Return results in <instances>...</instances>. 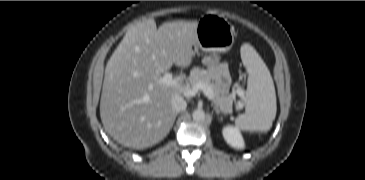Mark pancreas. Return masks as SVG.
<instances>
[{
  "instance_id": "pancreas-1",
  "label": "pancreas",
  "mask_w": 365,
  "mask_h": 180,
  "mask_svg": "<svg viewBox=\"0 0 365 180\" xmlns=\"http://www.w3.org/2000/svg\"><path fill=\"white\" fill-rule=\"evenodd\" d=\"M192 86L198 83L207 85L214 93V104L220 108L222 112L230 113L232 111L233 96L229 94L227 88L221 87L218 83H214L211 75L205 69L194 67L189 76Z\"/></svg>"
}]
</instances>
